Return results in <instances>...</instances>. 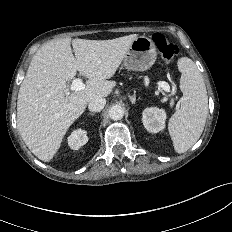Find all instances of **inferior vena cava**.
<instances>
[{
	"mask_svg": "<svg viewBox=\"0 0 232 232\" xmlns=\"http://www.w3.org/2000/svg\"><path fill=\"white\" fill-rule=\"evenodd\" d=\"M106 104L105 98L102 97H96L92 99L88 104V109L91 112H100Z\"/></svg>",
	"mask_w": 232,
	"mask_h": 232,
	"instance_id": "inferior-vena-cava-1",
	"label": "inferior vena cava"
}]
</instances>
